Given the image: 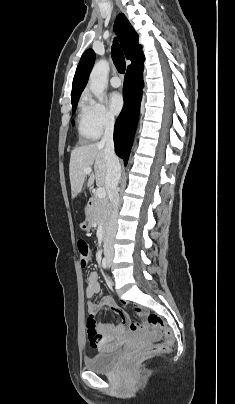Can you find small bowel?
<instances>
[{
    "mask_svg": "<svg viewBox=\"0 0 235 404\" xmlns=\"http://www.w3.org/2000/svg\"><path fill=\"white\" fill-rule=\"evenodd\" d=\"M99 290L98 273L91 272L87 278L86 296L92 298L99 292ZM102 307H106L108 310L117 313L121 317L122 323L118 325L112 323L96 324L95 331L98 335L99 342L93 343V345L98 348L105 347V344L108 342H113L114 345H119L131 332V328L129 327V316L115 304L111 297L106 296L98 302H88L87 311L89 318L94 319Z\"/></svg>",
    "mask_w": 235,
    "mask_h": 404,
    "instance_id": "c3829d8e",
    "label": "small bowel"
}]
</instances>
